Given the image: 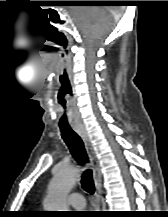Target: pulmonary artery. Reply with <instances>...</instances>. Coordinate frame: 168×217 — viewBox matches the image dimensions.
<instances>
[{
  "label": "pulmonary artery",
  "mask_w": 168,
  "mask_h": 217,
  "mask_svg": "<svg viewBox=\"0 0 168 217\" xmlns=\"http://www.w3.org/2000/svg\"><path fill=\"white\" fill-rule=\"evenodd\" d=\"M67 201L70 206H72L75 209H82L85 207V200L82 194L78 192L71 193L67 197Z\"/></svg>",
  "instance_id": "1"
}]
</instances>
